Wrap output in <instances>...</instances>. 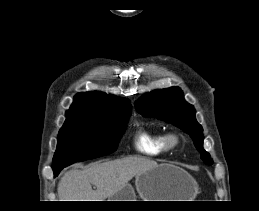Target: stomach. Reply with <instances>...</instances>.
<instances>
[{
  "label": "stomach",
  "instance_id": "obj_1",
  "mask_svg": "<svg viewBox=\"0 0 259 211\" xmlns=\"http://www.w3.org/2000/svg\"><path fill=\"white\" fill-rule=\"evenodd\" d=\"M135 186L142 201H187L195 194L193 178L170 164H161L136 175ZM108 201H137L135 190L131 184H126Z\"/></svg>",
  "mask_w": 259,
  "mask_h": 211
}]
</instances>
